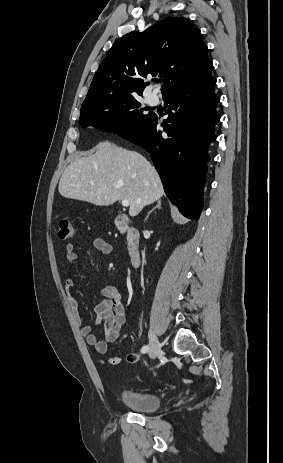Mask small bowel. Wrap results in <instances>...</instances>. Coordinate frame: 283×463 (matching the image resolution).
<instances>
[{"label":"small bowel","instance_id":"obj_1","mask_svg":"<svg viewBox=\"0 0 283 463\" xmlns=\"http://www.w3.org/2000/svg\"><path fill=\"white\" fill-rule=\"evenodd\" d=\"M94 247L101 253L108 255L112 252L113 247L105 239L101 237H94L92 239ZM66 261L73 265L78 261V254L75 252L72 244H67L66 247ZM75 287V279L68 277L65 281V289L68 292L69 305L74 313L76 320L80 326L82 335L85 337L86 342L93 346L99 354H106L109 346L113 344L120 336L122 327L125 323L124 308L122 305V295L120 291L114 286H106L102 289L101 294L104 300L92 307L95 313L94 325L85 323L80 315V303L78 299L72 294ZM99 324L104 325V338L98 339L94 334V326ZM133 355L135 360L130 361L128 357ZM139 359V354L136 351H131L127 354V361L135 363ZM121 358L118 355H112L108 358V364L116 366L120 364Z\"/></svg>","mask_w":283,"mask_h":463}]
</instances>
